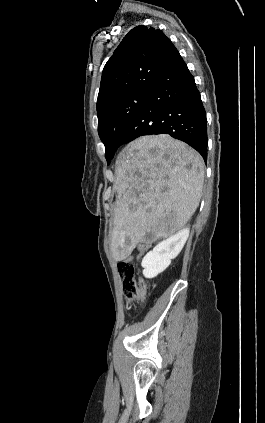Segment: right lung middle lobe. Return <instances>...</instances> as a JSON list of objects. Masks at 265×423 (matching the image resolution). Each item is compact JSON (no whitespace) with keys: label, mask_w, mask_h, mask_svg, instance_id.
I'll use <instances>...</instances> for the list:
<instances>
[{"label":"right lung middle lobe","mask_w":265,"mask_h":423,"mask_svg":"<svg viewBox=\"0 0 265 423\" xmlns=\"http://www.w3.org/2000/svg\"><path fill=\"white\" fill-rule=\"evenodd\" d=\"M150 90L135 91L117 100L98 115V133L105 145L108 164L118 148L119 136L146 101Z\"/></svg>","instance_id":"1"}]
</instances>
